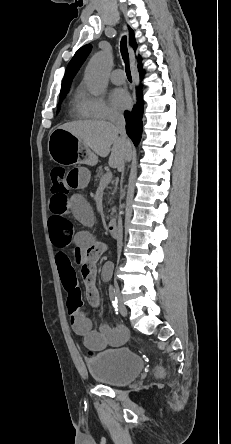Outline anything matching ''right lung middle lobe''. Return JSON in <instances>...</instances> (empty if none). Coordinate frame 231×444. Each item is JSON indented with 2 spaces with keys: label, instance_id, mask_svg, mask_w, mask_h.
I'll return each instance as SVG.
<instances>
[{
  "label": "right lung middle lobe",
  "instance_id": "1",
  "mask_svg": "<svg viewBox=\"0 0 231 444\" xmlns=\"http://www.w3.org/2000/svg\"><path fill=\"white\" fill-rule=\"evenodd\" d=\"M68 90H69V89L61 90V91H60V98H59V101H60V102L65 98V96H66ZM59 107H60V105H58V109H59Z\"/></svg>",
  "mask_w": 231,
  "mask_h": 444
}]
</instances>
